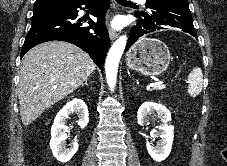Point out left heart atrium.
<instances>
[{
	"instance_id": "obj_1",
	"label": "left heart atrium",
	"mask_w": 227,
	"mask_h": 166,
	"mask_svg": "<svg viewBox=\"0 0 227 166\" xmlns=\"http://www.w3.org/2000/svg\"><path fill=\"white\" fill-rule=\"evenodd\" d=\"M121 24H122V22H121L120 19H116V20L113 22V25H114L115 27H119Z\"/></svg>"
}]
</instances>
